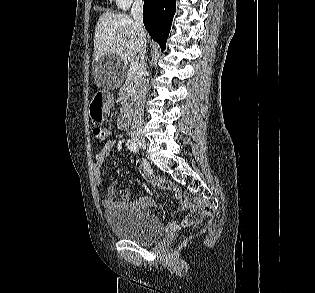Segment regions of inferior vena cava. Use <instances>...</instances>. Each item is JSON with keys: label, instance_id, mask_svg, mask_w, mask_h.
<instances>
[{"label": "inferior vena cava", "instance_id": "1", "mask_svg": "<svg viewBox=\"0 0 315 293\" xmlns=\"http://www.w3.org/2000/svg\"><path fill=\"white\" fill-rule=\"evenodd\" d=\"M133 18V26L136 35L137 49L139 52V67L136 73V101L133 111V121L131 126V134H140L143 128V111L144 102L147 93L145 84V53H146V31L143 24V0H135L131 9Z\"/></svg>", "mask_w": 315, "mask_h": 293}]
</instances>
